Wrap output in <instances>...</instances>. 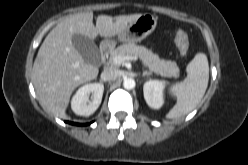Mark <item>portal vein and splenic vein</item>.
<instances>
[{"label":"portal vein and splenic vein","mask_w":248,"mask_h":165,"mask_svg":"<svg viewBox=\"0 0 248 165\" xmlns=\"http://www.w3.org/2000/svg\"><path fill=\"white\" fill-rule=\"evenodd\" d=\"M137 57L136 56H116L113 58V62L115 64H122L125 61H130V60H136Z\"/></svg>","instance_id":"portal-vein-and-splenic-vein-1"}]
</instances>
